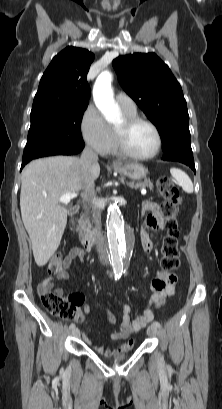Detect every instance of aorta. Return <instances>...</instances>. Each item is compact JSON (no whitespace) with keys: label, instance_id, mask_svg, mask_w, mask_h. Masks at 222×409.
I'll return each mask as SVG.
<instances>
[{"label":"aorta","instance_id":"obj_1","mask_svg":"<svg viewBox=\"0 0 222 409\" xmlns=\"http://www.w3.org/2000/svg\"><path fill=\"white\" fill-rule=\"evenodd\" d=\"M111 81L110 72L103 71L95 81L93 99L105 119L109 123H117L120 120V113L113 98ZM106 229L112 264L116 269H120L125 260L130 257L133 233L124 222L116 205H110L108 208Z\"/></svg>","mask_w":222,"mask_h":409}]
</instances>
